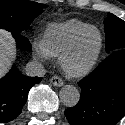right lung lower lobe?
I'll list each match as a JSON object with an SVG mask.
<instances>
[{
  "mask_svg": "<svg viewBox=\"0 0 125 125\" xmlns=\"http://www.w3.org/2000/svg\"><path fill=\"white\" fill-rule=\"evenodd\" d=\"M13 37L22 50L31 49L28 39L24 36L13 34ZM40 81L39 77L24 76L14 66L0 79V123L12 121L21 113L29 90Z\"/></svg>",
  "mask_w": 125,
  "mask_h": 125,
  "instance_id": "right-lung-lower-lobe-1",
  "label": "right lung lower lobe"
}]
</instances>
